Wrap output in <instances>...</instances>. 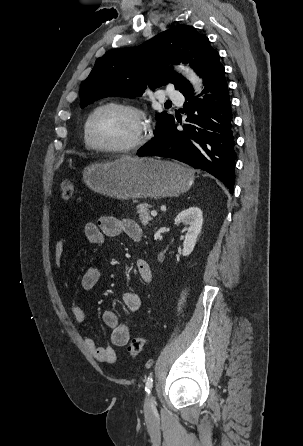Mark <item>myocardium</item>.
I'll return each instance as SVG.
<instances>
[{
	"label": "myocardium",
	"instance_id": "f54148a6",
	"mask_svg": "<svg viewBox=\"0 0 303 446\" xmlns=\"http://www.w3.org/2000/svg\"><path fill=\"white\" fill-rule=\"evenodd\" d=\"M106 109H118L131 114L138 123V131L136 136L127 144L121 146H101L95 143L91 135V125L95 116L103 110ZM149 125L146 121L145 114L141 109L134 105L119 103V102H109L95 108L91 114L88 116L85 123L84 135L87 144L90 148L107 153H126L140 148L147 140Z\"/></svg>",
	"mask_w": 303,
	"mask_h": 446
}]
</instances>
